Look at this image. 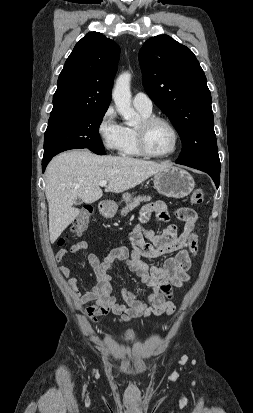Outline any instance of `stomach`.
Listing matches in <instances>:
<instances>
[{
	"instance_id": "stomach-1",
	"label": "stomach",
	"mask_w": 253,
	"mask_h": 413,
	"mask_svg": "<svg viewBox=\"0 0 253 413\" xmlns=\"http://www.w3.org/2000/svg\"><path fill=\"white\" fill-rule=\"evenodd\" d=\"M154 187L162 195L171 198H184L188 196L195 187L193 177L185 170L171 166L154 175ZM132 195L123 194V200L130 202ZM116 206H108L104 212L109 216L116 213Z\"/></svg>"
}]
</instances>
